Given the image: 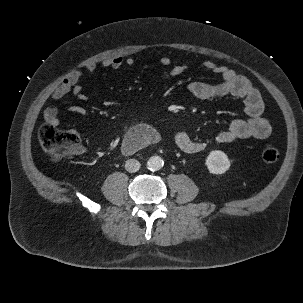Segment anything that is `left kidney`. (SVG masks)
<instances>
[{
    "label": "left kidney",
    "instance_id": "5707ae66",
    "mask_svg": "<svg viewBox=\"0 0 303 303\" xmlns=\"http://www.w3.org/2000/svg\"><path fill=\"white\" fill-rule=\"evenodd\" d=\"M206 166L212 174H223L230 168V160L223 151L214 150L207 156Z\"/></svg>",
    "mask_w": 303,
    "mask_h": 303
}]
</instances>
